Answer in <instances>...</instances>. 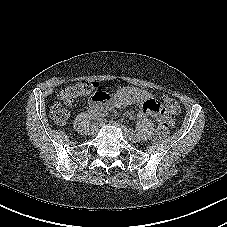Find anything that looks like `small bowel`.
<instances>
[{"label": "small bowel", "mask_w": 227, "mask_h": 227, "mask_svg": "<svg viewBox=\"0 0 227 227\" xmlns=\"http://www.w3.org/2000/svg\"><path fill=\"white\" fill-rule=\"evenodd\" d=\"M130 104L140 105L141 116L150 115L163 123L172 122V119L168 118L152 94L135 87L121 88L115 92L112 98L108 97L105 100L92 99L89 108L91 113L94 115L96 113H102L103 110L109 106L123 108Z\"/></svg>", "instance_id": "1"}]
</instances>
